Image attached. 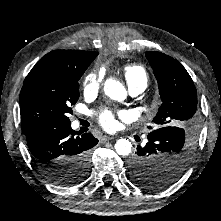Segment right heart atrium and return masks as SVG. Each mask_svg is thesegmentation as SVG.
<instances>
[{
  "mask_svg": "<svg viewBox=\"0 0 221 221\" xmlns=\"http://www.w3.org/2000/svg\"><path fill=\"white\" fill-rule=\"evenodd\" d=\"M103 83V74L99 71L88 73L83 80V90L86 95L97 93Z\"/></svg>",
  "mask_w": 221,
  "mask_h": 221,
  "instance_id": "obj_1",
  "label": "right heart atrium"
}]
</instances>
